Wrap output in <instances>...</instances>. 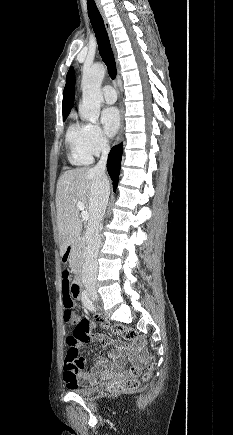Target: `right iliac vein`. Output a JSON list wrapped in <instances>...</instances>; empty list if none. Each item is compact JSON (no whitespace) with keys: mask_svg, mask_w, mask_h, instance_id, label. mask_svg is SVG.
<instances>
[{"mask_svg":"<svg viewBox=\"0 0 233 435\" xmlns=\"http://www.w3.org/2000/svg\"><path fill=\"white\" fill-rule=\"evenodd\" d=\"M89 293H90L91 295H94V292H93L92 290H89Z\"/></svg>","mask_w":233,"mask_h":435,"instance_id":"63e3f726","label":"right iliac vein"}]
</instances>
